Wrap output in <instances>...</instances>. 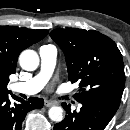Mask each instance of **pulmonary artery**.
<instances>
[{
    "mask_svg": "<svg viewBox=\"0 0 130 130\" xmlns=\"http://www.w3.org/2000/svg\"><path fill=\"white\" fill-rule=\"evenodd\" d=\"M41 59L40 71L32 78L24 82H17L11 85L14 92L34 95L42 90L53 72L57 50L53 45H44L39 49Z\"/></svg>",
    "mask_w": 130,
    "mask_h": 130,
    "instance_id": "pulmonary-artery-1",
    "label": "pulmonary artery"
}]
</instances>
